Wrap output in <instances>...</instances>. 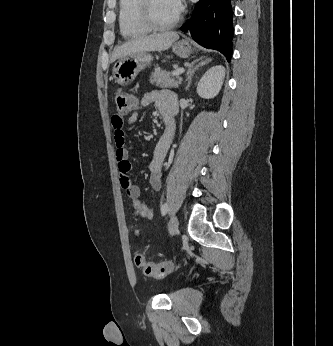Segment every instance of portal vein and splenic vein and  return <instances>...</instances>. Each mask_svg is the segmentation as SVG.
<instances>
[{
    "mask_svg": "<svg viewBox=\"0 0 333 346\" xmlns=\"http://www.w3.org/2000/svg\"><path fill=\"white\" fill-rule=\"evenodd\" d=\"M184 68H179V69H177L176 71H174L173 73H172V75L173 76H178V75H181L182 73H184Z\"/></svg>",
    "mask_w": 333,
    "mask_h": 346,
    "instance_id": "1",
    "label": "portal vein and splenic vein"
}]
</instances>
